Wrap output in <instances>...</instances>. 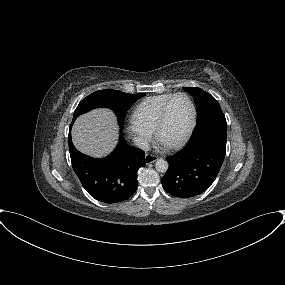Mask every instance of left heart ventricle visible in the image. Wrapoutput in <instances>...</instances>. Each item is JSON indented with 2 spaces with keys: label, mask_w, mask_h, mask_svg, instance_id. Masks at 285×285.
Returning a JSON list of instances; mask_svg holds the SVG:
<instances>
[{
  "label": "left heart ventricle",
  "mask_w": 285,
  "mask_h": 285,
  "mask_svg": "<svg viewBox=\"0 0 285 285\" xmlns=\"http://www.w3.org/2000/svg\"><path fill=\"white\" fill-rule=\"evenodd\" d=\"M191 107L185 97H177L170 105L167 120L161 129L159 141L164 145L180 139L189 125Z\"/></svg>",
  "instance_id": "obj_1"
}]
</instances>
